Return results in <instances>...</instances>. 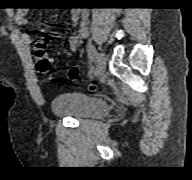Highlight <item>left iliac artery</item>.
<instances>
[{
	"mask_svg": "<svg viewBox=\"0 0 192 180\" xmlns=\"http://www.w3.org/2000/svg\"><path fill=\"white\" fill-rule=\"evenodd\" d=\"M87 52L91 60H93L97 54V51L91 42L87 44Z\"/></svg>",
	"mask_w": 192,
	"mask_h": 180,
	"instance_id": "44dca946",
	"label": "left iliac artery"
}]
</instances>
